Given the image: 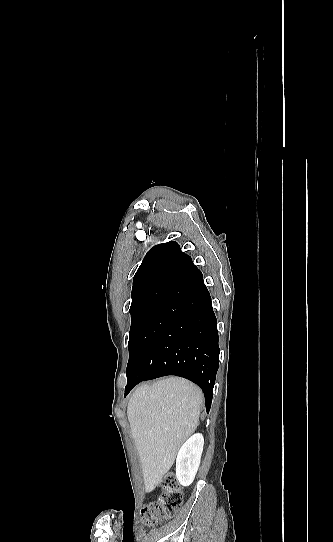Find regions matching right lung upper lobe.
<instances>
[{
  "label": "right lung upper lobe",
  "mask_w": 333,
  "mask_h": 542,
  "mask_svg": "<svg viewBox=\"0 0 333 542\" xmlns=\"http://www.w3.org/2000/svg\"><path fill=\"white\" fill-rule=\"evenodd\" d=\"M176 249H180L179 245L171 241L147 253L134 276L131 307L164 297L191 273L169 263L168 255Z\"/></svg>",
  "instance_id": "1"
}]
</instances>
